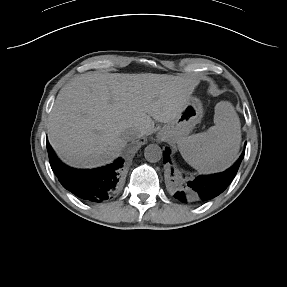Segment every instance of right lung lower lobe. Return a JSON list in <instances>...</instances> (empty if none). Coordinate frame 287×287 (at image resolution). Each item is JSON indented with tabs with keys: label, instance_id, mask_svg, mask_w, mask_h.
Returning a JSON list of instances; mask_svg holds the SVG:
<instances>
[{
	"label": "right lung lower lobe",
	"instance_id": "1",
	"mask_svg": "<svg viewBox=\"0 0 287 287\" xmlns=\"http://www.w3.org/2000/svg\"><path fill=\"white\" fill-rule=\"evenodd\" d=\"M47 150L52 170L58 176L60 183L70 192L88 202L107 200L116 189L123 159L92 170H78L61 163L55 156L49 142Z\"/></svg>",
	"mask_w": 287,
	"mask_h": 287
}]
</instances>
